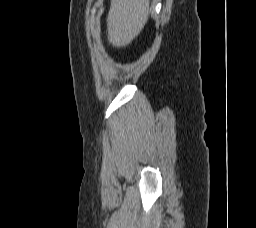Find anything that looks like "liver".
<instances>
[{
    "label": "liver",
    "mask_w": 256,
    "mask_h": 228,
    "mask_svg": "<svg viewBox=\"0 0 256 228\" xmlns=\"http://www.w3.org/2000/svg\"><path fill=\"white\" fill-rule=\"evenodd\" d=\"M149 0H111L107 17L108 40L125 47L144 28L149 16Z\"/></svg>",
    "instance_id": "liver-1"
}]
</instances>
